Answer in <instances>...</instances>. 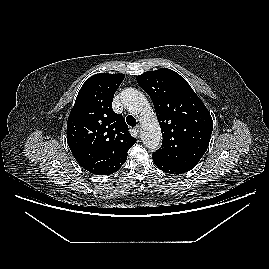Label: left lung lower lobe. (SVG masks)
Listing matches in <instances>:
<instances>
[{
  "label": "left lung lower lobe",
  "mask_w": 269,
  "mask_h": 269,
  "mask_svg": "<svg viewBox=\"0 0 269 269\" xmlns=\"http://www.w3.org/2000/svg\"><path fill=\"white\" fill-rule=\"evenodd\" d=\"M155 165L162 171L170 174H181L190 171L192 168L182 167V166H174L167 164L156 157H152Z\"/></svg>",
  "instance_id": "1"
}]
</instances>
